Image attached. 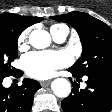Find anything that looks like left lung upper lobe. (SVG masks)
<instances>
[{"label": "left lung upper lobe", "mask_w": 112, "mask_h": 112, "mask_svg": "<svg viewBox=\"0 0 112 112\" xmlns=\"http://www.w3.org/2000/svg\"><path fill=\"white\" fill-rule=\"evenodd\" d=\"M66 22L79 34L83 51L80 59L69 68L80 76L112 70V29L104 22L82 12L52 16Z\"/></svg>", "instance_id": "5c2ea615"}]
</instances>
